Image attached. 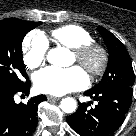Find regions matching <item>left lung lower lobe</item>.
<instances>
[{
    "mask_svg": "<svg viewBox=\"0 0 136 136\" xmlns=\"http://www.w3.org/2000/svg\"><path fill=\"white\" fill-rule=\"evenodd\" d=\"M132 87L90 89L85 95L98 101L95 108L79 103L77 111L67 117L70 127L81 136H113L124 121L131 104Z\"/></svg>",
    "mask_w": 136,
    "mask_h": 136,
    "instance_id": "1",
    "label": "left lung lower lobe"
}]
</instances>
